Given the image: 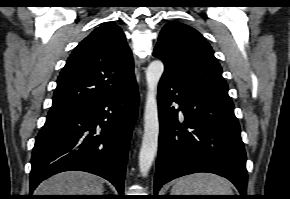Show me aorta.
<instances>
[{"label": "aorta", "mask_w": 290, "mask_h": 199, "mask_svg": "<svg viewBox=\"0 0 290 199\" xmlns=\"http://www.w3.org/2000/svg\"><path fill=\"white\" fill-rule=\"evenodd\" d=\"M163 72L164 64L160 60L152 61L146 70L147 97L144 111V134L139 152V170L143 177L147 176L158 148L157 86Z\"/></svg>", "instance_id": "1"}]
</instances>
